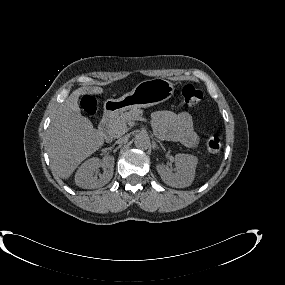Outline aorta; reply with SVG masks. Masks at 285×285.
Listing matches in <instances>:
<instances>
[{"mask_svg": "<svg viewBox=\"0 0 285 285\" xmlns=\"http://www.w3.org/2000/svg\"><path fill=\"white\" fill-rule=\"evenodd\" d=\"M134 144L137 148L146 150L150 146V138L145 133H139L134 139Z\"/></svg>", "mask_w": 285, "mask_h": 285, "instance_id": "1", "label": "aorta"}]
</instances>
